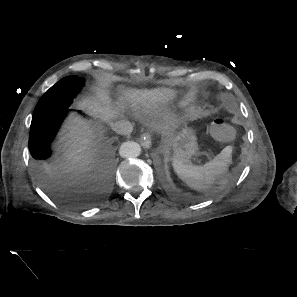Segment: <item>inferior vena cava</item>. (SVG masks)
<instances>
[{"label": "inferior vena cava", "mask_w": 297, "mask_h": 297, "mask_svg": "<svg viewBox=\"0 0 297 297\" xmlns=\"http://www.w3.org/2000/svg\"><path fill=\"white\" fill-rule=\"evenodd\" d=\"M111 128L118 134L129 135L133 131V126L129 121L121 120L111 123Z\"/></svg>", "instance_id": "602c4592"}]
</instances>
